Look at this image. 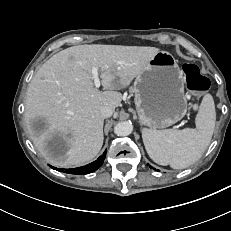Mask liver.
<instances>
[{
    "label": "liver",
    "instance_id": "6515ba94",
    "mask_svg": "<svg viewBox=\"0 0 231 231\" xmlns=\"http://www.w3.org/2000/svg\"><path fill=\"white\" fill-rule=\"evenodd\" d=\"M159 52L156 47L78 45L53 55L31 80L25 98V121L39 153L57 167L81 165L92 160L103 145L104 118L100 110H113L122 100L119 90L130 85ZM100 70L105 91L94 87L92 68ZM43 118L48 127L35 133L32 121ZM65 143L54 154L49 143Z\"/></svg>",
    "mask_w": 231,
    "mask_h": 231
}]
</instances>
